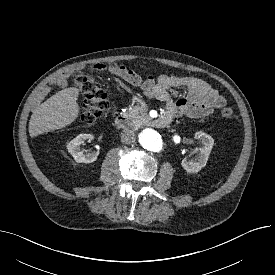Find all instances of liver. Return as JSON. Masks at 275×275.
Masks as SVG:
<instances>
[{"instance_id": "1", "label": "liver", "mask_w": 275, "mask_h": 275, "mask_svg": "<svg viewBox=\"0 0 275 275\" xmlns=\"http://www.w3.org/2000/svg\"><path fill=\"white\" fill-rule=\"evenodd\" d=\"M78 96L79 89L69 87L57 92L35 108L29 122L30 136L36 137L73 123L80 113Z\"/></svg>"}]
</instances>
